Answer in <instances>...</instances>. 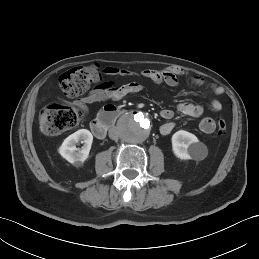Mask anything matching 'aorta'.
I'll use <instances>...</instances> for the list:
<instances>
[{"instance_id":"aorta-1","label":"aorta","mask_w":259,"mask_h":259,"mask_svg":"<svg viewBox=\"0 0 259 259\" xmlns=\"http://www.w3.org/2000/svg\"><path fill=\"white\" fill-rule=\"evenodd\" d=\"M120 136L124 142L138 144L147 139L150 134V121L142 113L127 114L120 123Z\"/></svg>"}]
</instances>
